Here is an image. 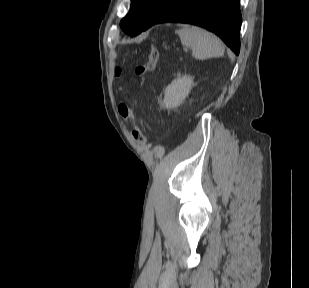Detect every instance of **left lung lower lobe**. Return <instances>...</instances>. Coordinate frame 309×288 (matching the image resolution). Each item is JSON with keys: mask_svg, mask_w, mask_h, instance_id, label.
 <instances>
[{"mask_svg": "<svg viewBox=\"0 0 309 288\" xmlns=\"http://www.w3.org/2000/svg\"><path fill=\"white\" fill-rule=\"evenodd\" d=\"M239 0H163L134 35L164 22L188 23L217 34L235 54L240 51Z\"/></svg>", "mask_w": 309, "mask_h": 288, "instance_id": "obj_1", "label": "left lung lower lobe"}]
</instances>
